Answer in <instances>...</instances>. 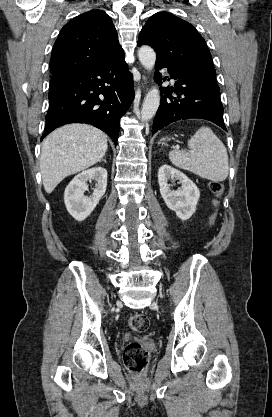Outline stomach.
I'll list each match as a JSON object with an SVG mask.
<instances>
[{
	"mask_svg": "<svg viewBox=\"0 0 272 417\" xmlns=\"http://www.w3.org/2000/svg\"><path fill=\"white\" fill-rule=\"evenodd\" d=\"M165 140H166V139H165V138H163L161 141H162V142H164ZM159 143H161V142H159Z\"/></svg>",
	"mask_w": 272,
	"mask_h": 417,
	"instance_id": "1",
	"label": "stomach"
}]
</instances>
